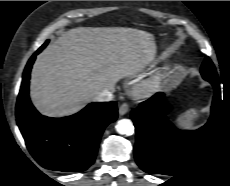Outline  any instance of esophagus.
<instances>
[{
  "instance_id": "esophagus-1",
  "label": "esophagus",
  "mask_w": 230,
  "mask_h": 186,
  "mask_svg": "<svg viewBox=\"0 0 230 186\" xmlns=\"http://www.w3.org/2000/svg\"><path fill=\"white\" fill-rule=\"evenodd\" d=\"M129 111V106L127 103H122L119 106V114L120 115H125Z\"/></svg>"
}]
</instances>
